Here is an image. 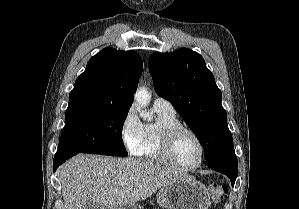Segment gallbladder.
Returning a JSON list of instances; mask_svg holds the SVG:
<instances>
[{
    "label": "gallbladder",
    "instance_id": "1",
    "mask_svg": "<svg viewBox=\"0 0 299 209\" xmlns=\"http://www.w3.org/2000/svg\"><path fill=\"white\" fill-rule=\"evenodd\" d=\"M82 209H100L99 205L94 202L93 200L91 199H87L83 206H82Z\"/></svg>",
    "mask_w": 299,
    "mask_h": 209
}]
</instances>
